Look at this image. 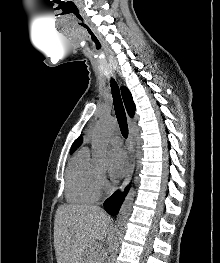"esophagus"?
Masks as SVG:
<instances>
[{
	"mask_svg": "<svg viewBox=\"0 0 220 263\" xmlns=\"http://www.w3.org/2000/svg\"><path fill=\"white\" fill-rule=\"evenodd\" d=\"M129 123V136H128V151H129V165L126 172L125 179L120 187V190L123 191L127 184L129 183L134 167H135V154H134V141H133V127H132V119L128 117Z\"/></svg>",
	"mask_w": 220,
	"mask_h": 263,
	"instance_id": "obj_1",
	"label": "esophagus"
}]
</instances>
